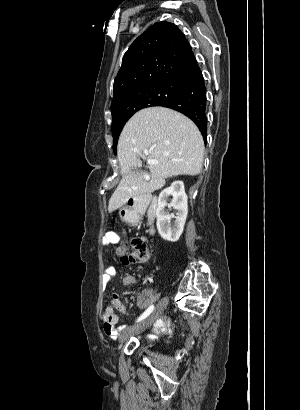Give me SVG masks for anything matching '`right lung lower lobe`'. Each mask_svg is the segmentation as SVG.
<instances>
[{"label":"right lung lower lobe","instance_id":"obj_1","mask_svg":"<svg viewBox=\"0 0 300 410\" xmlns=\"http://www.w3.org/2000/svg\"><path fill=\"white\" fill-rule=\"evenodd\" d=\"M206 87L200 69L185 83L180 92L161 106L179 111L189 117L199 128L204 140L207 136Z\"/></svg>","mask_w":300,"mask_h":410}]
</instances>
